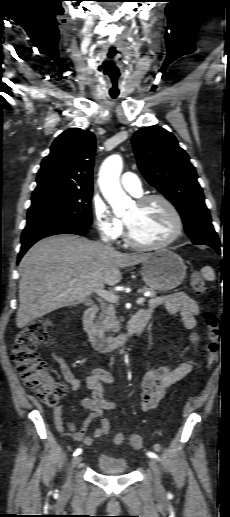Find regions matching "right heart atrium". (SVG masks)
<instances>
[{
	"instance_id": "d8ad5b80",
	"label": "right heart atrium",
	"mask_w": 230,
	"mask_h": 517,
	"mask_svg": "<svg viewBox=\"0 0 230 517\" xmlns=\"http://www.w3.org/2000/svg\"><path fill=\"white\" fill-rule=\"evenodd\" d=\"M93 215L100 236L107 241L118 240L123 234L122 221L102 201L93 204Z\"/></svg>"
}]
</instances>
